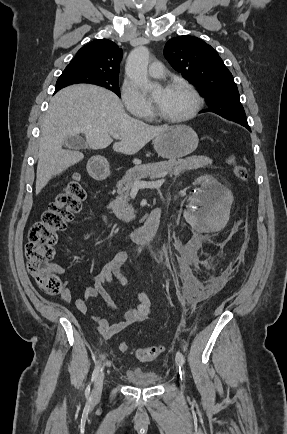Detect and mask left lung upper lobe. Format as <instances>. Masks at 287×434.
<instances>
[{
    "instance_id": "5c2ea615",
    "label": "left lung upper lobe",
    "mask_w": 287,
    "mask_h": 434,
    "mask_svg": "<svg viewBox=\"0 0 287 434\" xmlns=\"http://www.w3.org/2000/svg\"><path fill=\"white\" fill-rule=\"evenodd\" d=\"M164 55L175 70L199 87L209 106L204 111L245 115L233 76L210 45L194 36H178L166 43Z\"/></svg>"
}]
</instances>
